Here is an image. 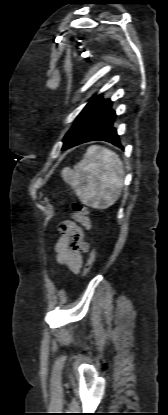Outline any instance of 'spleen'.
I'll return each mask as SVG.
<instances>
[{"instance_id": "spleen-1", "label": "spleen", "mask_w": 168, "mask_h": 415, "mask_svg": "<svg viewBox=\"0 0 168 415\" xmlns=\"http://www.w3.org/2000/svg\"><path fill=\"white\" fill-rule=\"evenodd\" d=\"M61 174L81 202L95 208L113 205L123 187L124 170L119 156L96 145L87 149L73 169L64 168Z\"/></svg>"}]
</instances>
